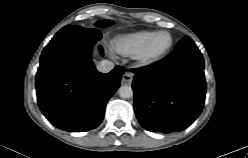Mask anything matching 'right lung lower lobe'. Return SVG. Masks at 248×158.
<instances>
[{"mask_svg":"<svg viewBox=\"0 0 248 158\" xmlns=\"http://www.w3.org/2000/svg\"><path fill=\"white\" fill-rule=\"evenodd\" d=\"M100 38L97 29L59 31L42 52L36 74L38 104L59 129L84 132L96 128L120 85L123 67L103 74L92 63L90 45Z\"/></svg>","mask_w":248,"mask_h":158,"instance_id":"1","label":"right lung lower lobe"}]
</instances>
